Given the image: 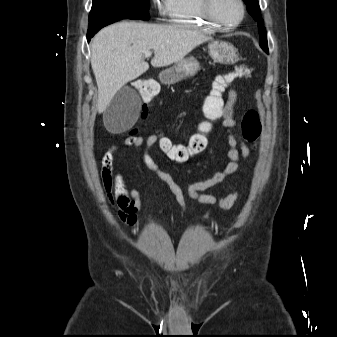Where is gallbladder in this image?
Wrapping results in <instances>:
<instances>
[{
	"label": "gallbladder",
	"instance_id": "obj_1",
	"mask_svg": "<svg viewBox=\"0 0 337 337\" xmlns=\"http://www.w3.org/2000/svg\"><path fill=\"white\" fill-rule=\"evenodd\" d=\"M140 107L141 100L136 91L128 86L122 87L104 111L106 129L122 132L130 128L139 116Z\"/></svg>",
	"mask_w": 337,
	"mask_h": 337
}]
</instances>
